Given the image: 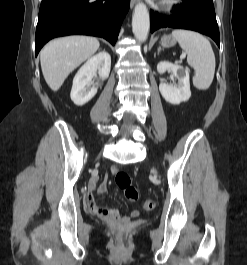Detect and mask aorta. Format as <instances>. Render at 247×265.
<instances>
[{"label": "aorta", "instance_id": "762f6f07", "mask_svg": "<svg viewBox=\"0 0 247 265\" xmlns=\"http://www.w3.org/2000/svg\"><path fill=\"white\" fill-rule=\"evenodd\" d=\"M150 27L149 13L144 3L135 6L132 16V31L139 41H146Z\"/></svg>", "mask_w": 247, "mask_h": 265}]
</instances>
